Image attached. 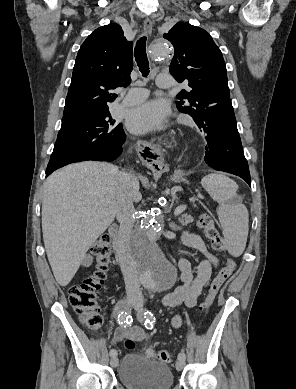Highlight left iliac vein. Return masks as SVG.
Returning <instances> with one entry per match:
<instances>
[{"label":"left iliac vein","instance_id":"left-iliac-vein-1","mask_svg":"<svg viewBox=\"0 0 296 389\" xmlns=\"http://www.w3.org/2000/svg\"><path fill=\"white\" fill-rule=\"evenodd\" d=\"M133 307L139 312V314H140L139 316L141 317V318L139 317V319L141 321H143V317L141 314L142 313V303L140 301H137L133 304ZM184 365H185V361L182 359H178L176 362V369L178 371H181L184 368Z\"/></svg>","mask_w":296,"mask_h":389}]
</instances>
